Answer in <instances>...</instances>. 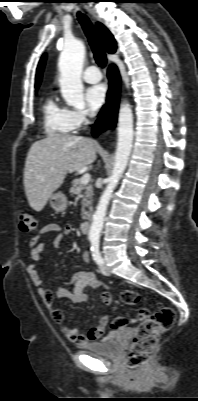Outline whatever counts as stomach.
<instances>
[{"label": "stomach", "mask_w": 198, "mask_h": 401, "mask_svg": "<svg viewBox=\"0 0 198 401\" xmlns=\"http://www.w3.org/2000/svg\"><path fill=\"white\" fill-rule=\"evenodd\" d=\"M50 205L56 212H63L67 207V197L62 192L52 194Z\"/></svg>", "instance_id": "stomach-1"}]
</instances>
